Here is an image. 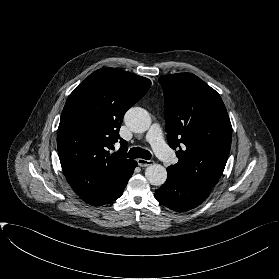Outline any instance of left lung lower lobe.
<instances>
[{"label":"left lung lower lobe","instance_id":"obj_1","mask_svg":"<svg viewBox=\"0 0 279 279\" xmlns=\"http://www.w3.org/2000/svg\"><path fill=\"white\" fill-rule=\"evenodd\" d=\"M166 182L155 191L156 199L164 206L179 212L189 211L206 200L211 190L181 179L167 168Z\"/></svg>","mask_w":279,"mask_h":279}]
</instances>
